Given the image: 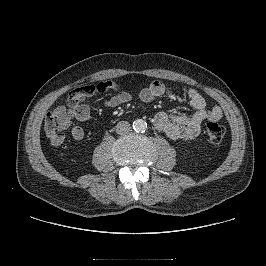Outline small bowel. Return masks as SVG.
<instances>
[{"mask_svg":"<svg viewBox=\"0 0 266 266\" xmlns=\"http://www.w3.org/2000/svg\"><path fill=\"white\" fill-rule=\"evenodd\" d=\"M166 91L165 85L160 81H153L147 87L143 88L139 94L140 100L144 103H151L157 97L162 96ZM183 92L188 98L189 104L194 110L191 115L176 114L170 115L165 112H159L154 117V126L173 140H190L196 138L201 131V123L204 120L216 121L223 116L222 110L215 106L209 110L206 109L204 97L194 88L185 87ZM131 95L128 92L120 91L105 101L108 107H117L130 101ZM91 117L90 106L87 98L77 96L68 98L66 105H59L53 109L45 121V133L50 143L58 146L63 144L70 131L74 140L84 138V130L81 127H71L72 121H88Z\"/></svg>","mask_w":266,"mask_h":266,"instance_id":"1","label":"small bowel"}]
</instances>
